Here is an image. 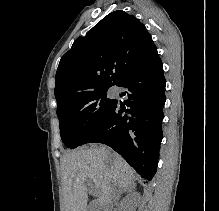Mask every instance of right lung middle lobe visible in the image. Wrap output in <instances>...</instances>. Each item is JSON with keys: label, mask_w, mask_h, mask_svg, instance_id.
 I'll return each mask as SVG.
<instances>
[{"label": "right lung middle lobe", "mask_w": 219, "mask_h": 211, "mask_svg": "<svg viewBox=\"0 0 219 211\" xmlns=\"http://www.w3.org/2000/svg\"><path fill=\"white\" fill-rule=\"evenodd\" d=\"M107 90L88 93L58 104L60 134L66 147L73 149L83 145L84 136L107 117L115 103L114 99L107 97Z\"/></svg>", "instance_id": "obj_1"}]
</instances>
